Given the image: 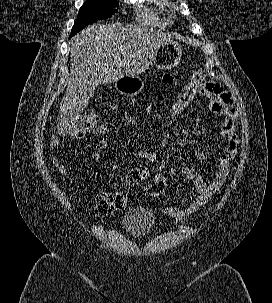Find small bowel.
<instances>
[{"label":"small bowel","instance_id":"c3829d8e","mask_svg":"<svg viewBox=\"0 0 272 303\" xmlns=\"http://www.w3.org/2000/svg\"><path fill=\"white\" fill-rule=\"evenodd\" d=\"M165 82H171L172 77L165 75ZM198 92L208 99L209 109L212 113L224 116V122L221 127V134L226 140V146L217 161V172L211 182H206L201 174L194 169L182 166L181 172L193 184L198 196L181 207H168L166 212L175 219H184L202 208L211 197L219 191L229 174L230 162L237 154L238 136H237V112L233 105L232 96L213 82H204L199 87ZM196 156L201 160H207L208 156L201 147L195 150ZM136 155L148 162H156L159 155L154 151L137 149ZM149 176L147 168L136 166L130 168L125 176L126 184L136 186L145 181Z\"/></svg>","mask_w":272,"mask_h":303}]
</instances>
